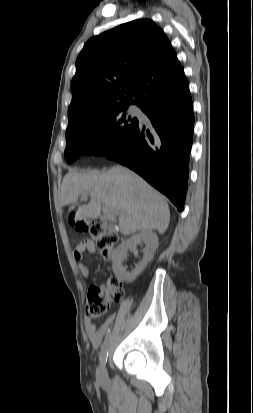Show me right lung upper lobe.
<instances>
[{
    "instance_id": "obj_1",
    "label": "right lung upper lobe",
    "mask_w": 253,
    "mask_h": 413,
    "mask_svg": "<svg viewBox=\"0 0 253 413\" xmlns=\"http://www.w3.org/2000/svg\"><path fill=\"white\" fill-rule=\"evenodd\" d=\"M184 70L168 38L152 20L122 24L87 41L71 82L69 121L115 106L181 95Z\"/></svg>"
}]
</instances>
